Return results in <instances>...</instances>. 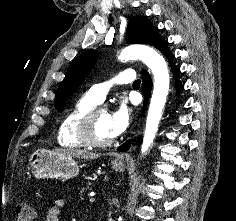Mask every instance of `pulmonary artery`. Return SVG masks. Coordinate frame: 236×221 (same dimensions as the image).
<instances>
[{
    "label": "pulmonary artery",
    "instance_id": "pulmonary-artery-1",
    "mask_svg": "<svg viewBox=\"0 0 236 221\" xmlns=\"http://www.w3.org/2000/svg\"><path fill=\"white\" fill-rule=\"evenodd\" d=\"M135 79V72L132 69L122 70L117 73L112 79L93 85L88 90L87 94L93 100L101 103L108 91L112 88L114 83L127 84Z\"/></svg>",
    "mask_w": 236,
    "mask_h": 221
}]
</instances>
